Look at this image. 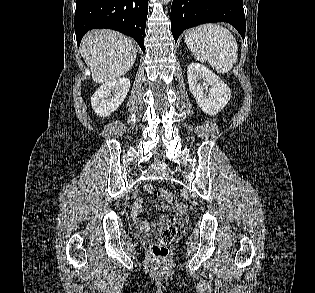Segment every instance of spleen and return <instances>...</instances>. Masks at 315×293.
I'll return each mask as SVG.
<instances>
[{
    "instance_id": "3e777b00",
    "label": "spleen",
    "mask_w": 315,
    "mask_h": 293,
    "mask_svg": "<svg viewBox=\"0 0 315 293\" xmlns=\"http://www.w3.org/2000/svg\"><path fill=\"white\" fill-rule=\"evenodd\" d=\"M185 43L196 60L208 62L218 73L229 72L237 61L236 39L221 25L209 23L189 29Z\"/></svg>"
}]
</instances>
